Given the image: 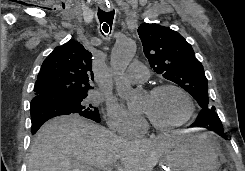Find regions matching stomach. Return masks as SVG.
Wrapping results in <instances>:
<instances>
[{"label": "stomach", "instance_id": "stomach-1", "mask_svg": "<svg viewBox=\"0 0 245 171\" xmlns=\"http://www.w3.org/2000/svg\"><path fill=\"white\" fill-rule=\"evenodd\" d=\"M219 156L212 133L187 134L163 154L161 165L165 171H217Z\"/></svg>", "mask_w": 245, "mask_h": 171}]
</instances>
